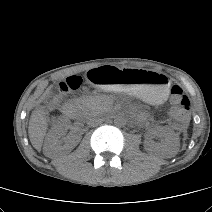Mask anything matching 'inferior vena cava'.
Segmentation results:
<instances>
[{"instance_id": "obj_1", "label": "inferior vena cava", "mask_w": 212, "mask_h": 212, "mask_svg": "<svg viewBox=\"0 0 212 212\" xmlns=\"http://www.w3.org/2000/svg\"><path fill=\"white\" fill-rule=\"evenodd\" d=\"M102 121H103V118L98 117V116H92V117L88 118L87 124L89 126H97V125L101 124Z\"/></svg>"}]
</instances>
